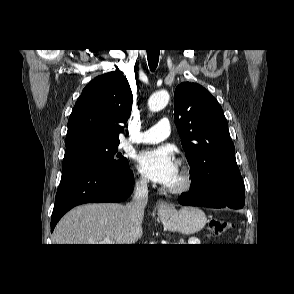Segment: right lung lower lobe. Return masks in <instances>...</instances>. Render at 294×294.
Returning <instances> with one entry per match:
<instances>
[{
    "label": "right lung lower lobe",
    "instance_id": "1",
    "mask_svg": "<svg viewBox=\"0 0 294 294\" xmlns=\"http://www.w3.org/2000/svg\"><path fill=\"white\" fill-rule=\"evenodd\" d=\"M133 173L128 167L117 171L79 167L62 173L51 216V232L60 218L76 205L89 202H120L132 192Z\"/></svg>",
    "mask_w": 294,
    "mask_h": 294
}]
</instances>
